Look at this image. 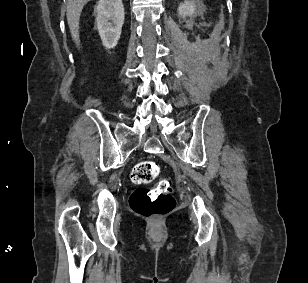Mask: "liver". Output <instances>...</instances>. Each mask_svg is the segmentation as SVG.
Wrapping results in <instances>:
<instances>
[{
    "label": "liver",
    "instance_id": "liver-1",
    "mask_svg": "<svg viewBox=\"0 0 308 283\" xmlns=\"http://www.w3.org/2000/svg\"><path fill=\"white\" fill-rule=\"evenodd\" d=\"M90 0H67L66 15L73 40L79 44V20L83 7Z\"/></svg>",
    "mask_w": 308,
    "mask_h": 283
}]
</instances>
